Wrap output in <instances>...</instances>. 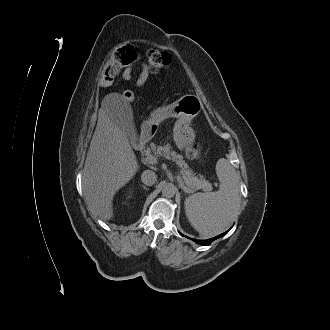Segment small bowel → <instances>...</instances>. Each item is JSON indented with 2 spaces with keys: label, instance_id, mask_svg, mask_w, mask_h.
Returning <instances> with one entry per match:
<instances>
[{
  "label": "small bowel",
  "instance_id": "c3829d8e",
  "mask_svg": "<svg viewBox=\"0 0 330 330\" xmlns=\"http://www.w3.org/2000/svg\"><path fill=\"white\" fill-rule=\"evenodd\" d=\"M137 67L140 68V72L136 79V86L143 87L149 79L150 70H149V67L144 62L141 61V58L139 55H136L135 61L132 65L123 69V71L121 72V77L124 80L132 79L135 74V69Z\"/></svg>",
  "mask_w": 330,
  "mask_h": 330
}]
</instances>
